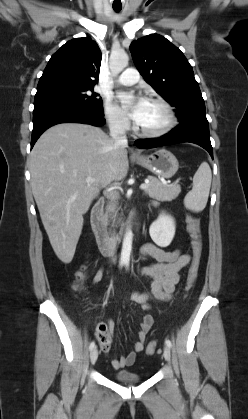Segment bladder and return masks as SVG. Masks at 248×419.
I'll use <instances>...</instances> for the list:
<instances>
[{
  "instance_id": "bladder-1",
  "label": "bladder",
  "mask_w": 248,
  "mask_h": 419,
  "mask_svg": "<svg viewBox=\"0 0 248 419\" xmlns=\"http://www.w3.org/2000/svg\"><path fill=\"white\" fill-rule=\"evenodd\" d=\"M113 379L124 385H133L140 383L142 378L139 374L131 371H117L113 373Z\"/></svg>"
}]
</instances>
